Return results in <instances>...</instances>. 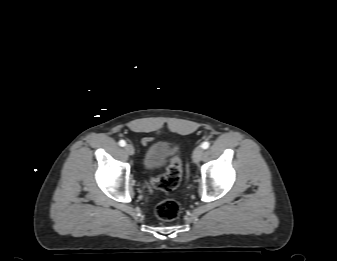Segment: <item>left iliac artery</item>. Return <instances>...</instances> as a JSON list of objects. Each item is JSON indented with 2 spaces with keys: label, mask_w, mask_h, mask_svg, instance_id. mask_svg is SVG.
<instances>
[{
  "label": "left iliac artery",
  "mask_w": 337,
  "mask_h": 261,
  "mask_svg": "<svg viewBox=\"0 0 337 261\" xmlns=\"http://www.w3.org/2000/svg\"><path fill=\"white\" fill-rule=\"evenodd\" d=\"M209 142H203L202 143V145H201V147L203 148V149H207V148H209Z\"/></svg>",
  "instance_id": "left-iliac-artery-1"
}]
</instances>
